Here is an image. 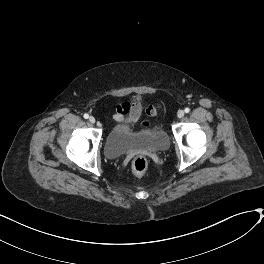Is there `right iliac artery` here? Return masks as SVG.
Returning a JSON list of instances; mask_svg holds the SVG:
<instances>
[{
    "mask_svg": "<svg viewBox=\"0 0 264 264\" xmlns=\"http://www.w3.org/2000/svg\"><path fill=\"white\" fill-rule=\"evenodd\" d=\"M83 117H84L85 119H88V118H89V115H88L87 113H85V114L83 115Z\"/></svg>",
    "mask_w": 264,
    "mask_h": 264,
    "instance_id": "right-iliac-artery-1",
    "label": "right iliac artery"
}]
</instances>
